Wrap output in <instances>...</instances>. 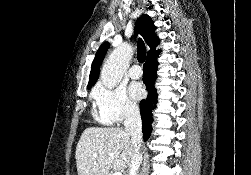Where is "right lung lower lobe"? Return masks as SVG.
Listing matches in <instances>:
<instances>
[{
    "label": "right lung lower lobe",
    "instance_id": "right-lung-lower-lobe-1",
    "mask_svg": "<svg viewBox=\"0 0 251 175\" xmlns=\"http://www.w3.org/2000/svg\"><path fill=\"white\" fill-rule=\"evenodd\" d=\"M158 62L155 61H146L143 68L144 78L143 81L147 87V91L149 96L147 100H142L140 102V113L142 118V131L144 135V139L147 140L150 136V132L152 129V110L156 106L157 103V94L156 89L154 87V83L156 80V69Z\"/></svg>",
    "mask_w": 251,
    "mask_h": 175
}]
</instances>
